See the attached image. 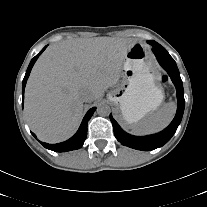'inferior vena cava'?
Here are the masks:
<instances>
[{
    "mask_svg": "<svg viewBox=\"0 0 207 207\" xmlns=\"http://www.w3.org/2000/svg\"><path fill=\"white\" fill-rule=\"evenodd\" d=\"M81 98L84 102H89L91 99L90 94L88 92H83Z\"/></svg>",
    "mask_w": 207,
    "mask_h": 207,
    "instance_id": "602c4592",
    "label": "inferior vena cava"
}]
</instances>
